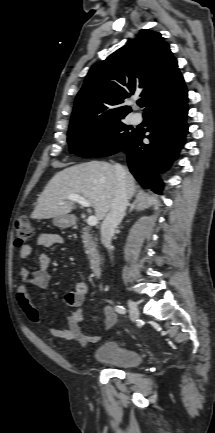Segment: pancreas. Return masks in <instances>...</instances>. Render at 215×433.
<instances>
[{
    "label": "pancreas",
    "mask_w": 215,
    "mask_h": 433,
    "mask_svg": "<svg viewBox=\"0 0 215 433\" xmlns=\"http://www.w3.org/2000/svg\"><path fill=\"white\" fill-rule=\"evenodd\" d=\"M82 240H83L85 251L88 254V256L93 257L94 255H96L97 243L95 239L92 237V235L90 234V229L88 227L82 228Z\"/></svg>",
    "instance_id": "1"
}]
</instances>
